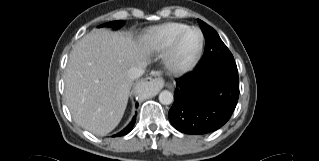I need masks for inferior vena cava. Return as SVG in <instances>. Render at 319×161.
I'll list each match as a JSON object with an SVG mask.
<instances>
[{"instance_id": "602c4592", "label": "inferior vena cava", "mask_w": 319, "mask_h": 161, "mask_svg": "<svg viewBox=\"0 0 319 161\" xmlns=\"http://www.w3.org/2000/svg\"><path fill=\"white\" fill-rule=\"evenodd\" d=\"M145 68H146V65L132 67L128 72L129 77L131 79L139 78L140 76L144 74Z\"/></svg>"}]
</instances>
